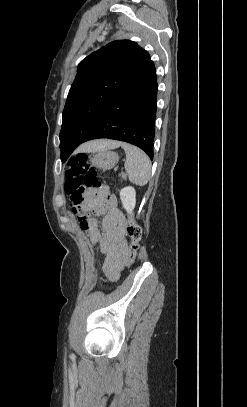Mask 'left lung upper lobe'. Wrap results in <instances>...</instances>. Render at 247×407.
I'll return each instance as SVG.
<instances>
[{
	"label": "left lung upper lobe",
	"mask_w": 247,
	"mask_h": 407,
	"mask_svg": "<svg viewBox=\"0 0 247 407\" xmlns=\"http://www.w3.org/2000/svg\"><path fill=\"white\" fill-rule=\"evenodd\" d=\"M150 62L148 52L130 40L114 41L81 61L62 115V162L83 142L111 101Z\"/></svg>",
	"instance_id": "1"
}]
</instances>
